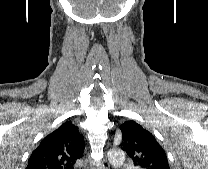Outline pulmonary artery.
Returning a JSON list of instances; mask_svg holds the SVG:
<instances>
[{"instance_id":"obj_1","label":"pulmonary artery","mask_w":208,"mask_h":169,"mask_svg":"<svg viewBox=\"0 0 208 169\" xmlns=\"http://www.w3.org/2000/svg\"><path fill=\"white\" fill-rule=\"evenodd\" d=\"M120 168H125V169H136L135 167H131V166H121Z\"/></svg>"}]
</instances>
